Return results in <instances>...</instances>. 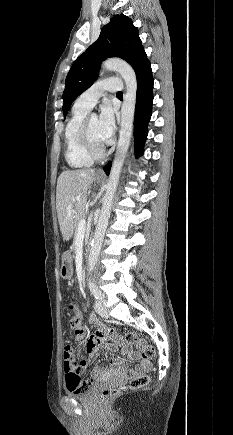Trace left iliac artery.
<instances>
[{"label":"left iliac artery","instance_id":"obj_1","mask_svg":"<svg viewBox=\"0 0 233 435\" xmlns=\"http://www.w3.org/2000/svg\"><path fill=\"white\" fill-rule=\"evenodd\" d=\"M88 285H89L90 291H91V293L93 294V296H94L96 299H102V294H101V292L98 290V288L96 287V285H95L93 279H89Z\"/></svg>","mask_w":233,"mask_h":435}]
</instances>
